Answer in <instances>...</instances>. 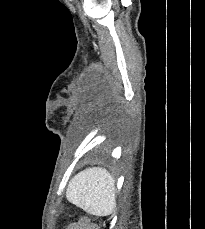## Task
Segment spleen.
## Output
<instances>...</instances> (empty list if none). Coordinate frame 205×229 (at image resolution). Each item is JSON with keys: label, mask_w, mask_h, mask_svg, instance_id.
I'll list each match as a JSON object with an SVG mask.
<instances>
[{"label": "spleen", "mask_w": 205, "mask_h": 229, "mask_svg": "<svg viewBox=\"0 0 205 229\" xmlns=\"http://www.w3.org/2000/svg\"><path fill=\"white\" fill-rule=\"evenodd\" d=\"M115 180L104 168H87L69 182V202L96 216H108L116 207Z\"/></svg>", "instance_id": "3e777b00"}]
</instances>
